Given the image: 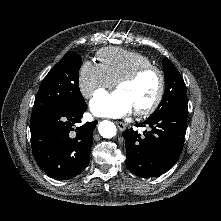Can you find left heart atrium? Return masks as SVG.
<instances>
[{"instance_id": "39dd6f15", "label": "left heart atrium", "mask_w": 221, "mask_h": 221, "mask_svg": "<svg viewBox=\"0 0 221 221\" xmlns=\"http://www.w3.org/2000/svg\"><path fill=\"white\" fill-rule=\"evenodd\" d=\"M90 108L95 115L107 117L125 116L134 110L127 97L119 90L97 93L90 102Z\"/></svg>"}]
</instances>
